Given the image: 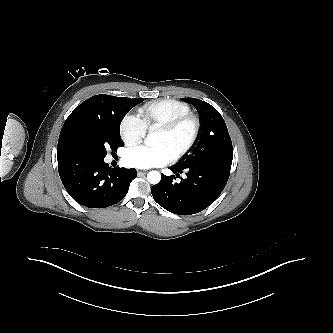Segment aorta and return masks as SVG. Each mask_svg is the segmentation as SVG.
I'll return each instance as SVG.
<instances>
[{
    "label": "aorta",
    "instance_id": "obj_1",
    "mask_svg": "<svg viewBox=\"0 0 333 333\" xmlns=\"http://www.w3.org/2000/svg\"><path fill=\"white\" fill-rule=\"evenodd\" d=\"M157 141V132H153L147 135L146 143L150 146H153ZM161 180V174L158 171H150L147 174V181L150 184H158Z\"/></svg>",
    "mask_w": 333,
    "mask_h": 333
}]
</instances>
